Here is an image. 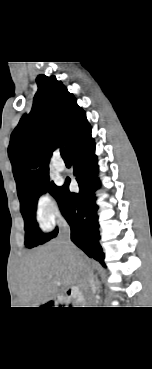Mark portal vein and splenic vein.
Wrapping results in <instances>:
<instances>
[{
  "label": "portal vein and splenic vein",
  "instance_id": "18ae733b",
  "mask_svg": "<svg viewBox=\"0 0 152 369\" xmlns=\"http://www.w3.org/2000/svg\"><path fill=\"white\" fill-rule=\"evenodd\" d=\"M56 285H60L61 284V281L60 280H56Z\"/></svg>",
  "mask_w": 152,
  "mask_h": 369
}]
</instances>
